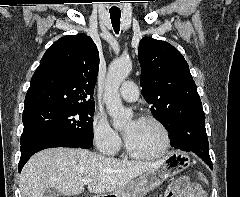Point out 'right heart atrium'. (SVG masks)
Masks as SVG:
<instances>
[{
  "instance_id": "right-heart-atrium-1",
  "label": "right heart atrium",
  "mask_w": 240,
  "mask_h": 197,
  "mask_svg": "<svg viewBox=\"0 0 240 197\" xmlns=\"http://www.w3.org/2000/svg\"><path fill=\"white\" fill-rule=\"evenodd\" d=\"M91 133L93 143L100 153L115 155L120 150L121 137L105 116L98 114L94 117Z\"/></svg>"
}]
</instances>
